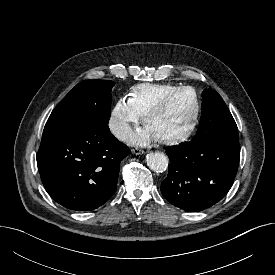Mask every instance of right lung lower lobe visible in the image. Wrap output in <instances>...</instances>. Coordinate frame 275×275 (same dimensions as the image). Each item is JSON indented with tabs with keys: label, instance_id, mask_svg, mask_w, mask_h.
I'll list each match as a JSON object with an SVG mask.
<instances>
[{
	"label": "right lung lower lobe",
	"instance_id": "obj_1",
	"mask_svg": "<svg viewBox=\"0 0 275 275\" xmlns=\"http://www.w3.org/2000/svg\"><path fill=\"white\" fill-rule=\"evenodd\" d=\"M128 154L129 148L106 124L80 132L44 134L37 166L53 200L70 210L90 211L113 196L119 164Z\"/></svg>",
	"mask_w": 275,
	"mask_h": 275
}]
</instances>
